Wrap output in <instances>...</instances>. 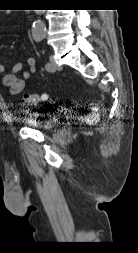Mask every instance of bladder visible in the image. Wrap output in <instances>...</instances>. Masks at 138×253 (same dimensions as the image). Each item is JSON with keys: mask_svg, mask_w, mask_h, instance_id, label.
<instances>
[{"mask_svg": "<svg viewBox=\"0 0 138 253\" xmlns=\"http://www.w3.org/2000/svg\"><path fill=\"white\" fill-rule=\"evenodd\" d=\"M23 122L29 128H33L40 131L50 132L55 130L59 125V118L54 116H47L41 119L34 115L27 116Z\"/></svg>", "mask_w": 138, "mask_h": 253, "instance_id": "bladder-1", "label": "bladder"}]
</instances>
